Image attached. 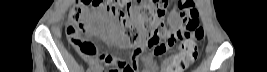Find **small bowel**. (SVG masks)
I'll return each instance as SVG.
<instances>
[{"label": "small bowel", "mask_w": 267, "mask_h": 72, "mask_svg": "<svg viewBox=\"0 0 267 72\" xmlns=\"http://www.w3.org/2000/svg\"><path fill=\"white\" fill-rule=\"evenodd\" d=\"M131 10L134 13L139 12V9H135L133 7H131ZM167 22L168 25L170 26V30L172 31L175 39H181L182 17L176 11H172L167 18ZM91 34L100 35L104 38H108L119 47L122 48L128 47L126 39L122 35L117 33L111 20L104 19L101 22H99L98 25L91 30ZM81 56L84 59L89 60L92 63V65L95 66L96 69L93 70L94 72L103 71V69L99 67L100 62L98 61V58L95 56L94 49L90 54V56H85V55ZM141 57H142V50L135 49L131 56L132 66L129 70H127V72H139L137 68V63ZM175 59L176 56H169L164 60H162L160 63L153 61L151 59H147L146 60L147 66L144 70H142V72H173L172 65Z\"/></svg>", "instance_id": "1"}]
</instances>
